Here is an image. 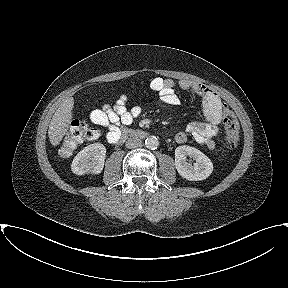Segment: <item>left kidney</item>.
<instances>
[{"label": "left kidney", "instance_id": "5707ae66", "mask_svg": "<svg viewBox=\"0 0 288 288\" xmlns=\"http://www.w3.org/2000/svg\"><path fill=\"white\" fill-rule=\"evenodd\" d=\"M187 156L193 158L192 165L187 162ZM175 167L178 173L189 181H201L210 176L213 171V163L200 150L182 145L175 149Z\"/></svg>", "mask_w": 288, "mask_h": 288}]
</instances>
